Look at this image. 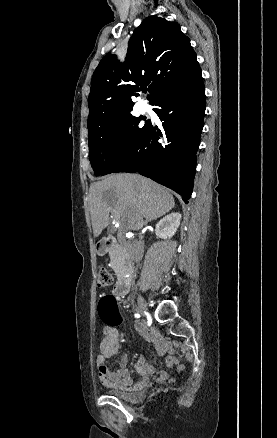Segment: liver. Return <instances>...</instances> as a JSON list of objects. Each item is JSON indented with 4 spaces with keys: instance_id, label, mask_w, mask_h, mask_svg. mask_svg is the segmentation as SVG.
Segmentation results:
<instances>
[{
    "instance_id": "obj_1",
    "label": "liver",
    "mask_w": 277,
    "mask_h": 438,
    "mask_svg": "<svg viewBox=\"0 0 277 438\" xmlns=\"http://www.w3.org/2000/svg\"><path fill=\"white\" fill-rule=\"evenodd\" d=\"M89 198L94 238L109 226L110 212L126 230H140L175 206L166 188L139 174H116L94 182Z\"/></svg>"
}]
</instances>
